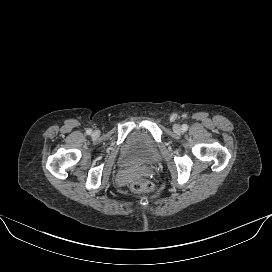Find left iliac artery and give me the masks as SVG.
I'll return each instance as SVG.
<instances>
[{"instance_id": "left-iliac-artery-1", "label": "left iliac artery", "mask_w": 272, "mask_h": 272, "mask_svg": "<svg viewBox=\"0 0 272 272\" xmlns=\"http://www.w3.org/2000/svg\"><path fill=\"white\" fill-rule=\"evenodd\" d=\"M182 130H183V131H187V130H188V125L183 124V125H182Z\"/></svg>"}]
</instances>
